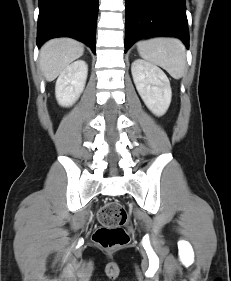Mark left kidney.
Instances as JSON below:
<instances>
[{
    "instance_id": "5707ae66",
    "label": "left kidney",
    "mask_w": 231,
    "mask_h": 281,
    "mask_svg": "<svg viewBox=\"0 0 231 281\" xmlns=\"http://www.w3.org/2000/svg\"><path fill=\"white\" fill-rule=\"evenodd\" d=\"M131 72L136 89L148 109L156 116L164 115L172 97L166 74L156 65L141 59L132 63Z\"/></svg>"
}]
</instances>
